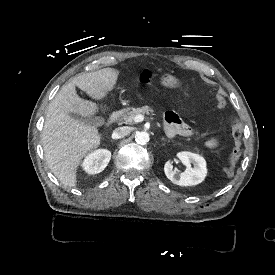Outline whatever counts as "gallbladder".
<instances>
[{
  "mask_svg": "<svg viewBox=\"0 0 275 275\" xmlns=\"http://www.w3.org/2000/svg\"><path fill=\"white\" fill-rule=\"evenodd\" d=\"M69 116L75 120H79L81 122H84L87 125L99 127L102 126L105 123L104 118L99 116H87L84 117L77 113H69Z\"/></svg>",
  "mask_w": 275,
  "mask_h": 275,
  "instance_id": "gallbladder-1",
  "label": "gallbladder"
}]
</instances>
